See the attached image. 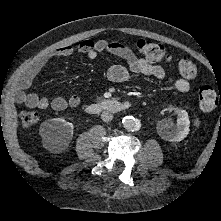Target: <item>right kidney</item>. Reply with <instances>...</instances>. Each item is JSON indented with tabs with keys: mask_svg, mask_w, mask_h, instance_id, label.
<instances>
[{
	"mask_svg": "<svg viewBox=\"0 0 221 221\" xmlns=\"http://www.w3.org/2000/svg\"><path fill=\"white\" fill-rule=\"evenodd\" d=\"M73 129L72 123L61 118H53L41 124L40 135L49 150L61 151L69 145Z\"/></svg>",
	"mask_w": 221,
	"mask_h": 221,
	"instance_id": "1",
	"label": "right kidney"
}]
</instances>
